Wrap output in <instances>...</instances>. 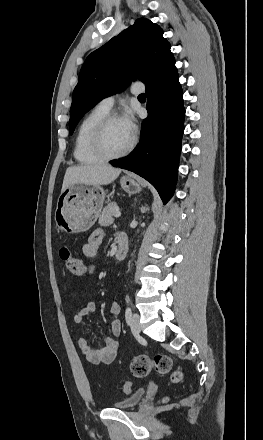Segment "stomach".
<instances>
[{
	"label": "stomach",
	"mask_w": 263,
	"mask_h": 440,
	"mask_svg": "<svg viewBox=\"0 0 263 440\" xmlns=\"http://www.w3.org/2000/svg\"><path fill=\"white\" fill-rule=\"evenodd\" d=\"M122 189L128 194L142 190L139 182L124 176L120 180ZM105 192L100 186H87L74 183L61 191L57 200L55 222L66 233H80L91 228L100 216Z\"/></svg>",
	"instance_id": "obj_1"
}]
</instances>
